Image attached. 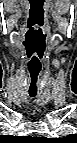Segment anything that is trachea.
Segmentation results:
<instances>
[{
  "label": "trachea",
  "mask_w": 77,
  "mask_h": 143,
  "mask_svg": "<svg viewBox=\"0 0 77 143\" xmlns=\"http://www.w3.org/2000/svg\"><path fill=\"white\" fill-rule=\"evenodd\" d=\"M30 96L34 98L36 95L35 94H30Z\"/></svg>",
  "instance_id": "trachea-1"
}]
</instances>
